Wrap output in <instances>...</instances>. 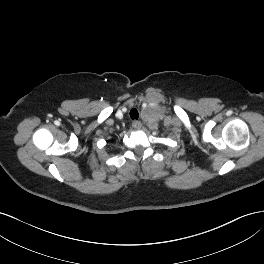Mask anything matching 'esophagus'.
I'll return each instance as SVG.
<instances>
[{
	"label": "esophagus",
	"mask_w": 264,
	"mask_h": 264,
	"mask_svg": "<svg viewBox=\"0 0 264 264\" xmlns=\"http://www.w3.org/2000/svg\"><path fill=\"white\" fill-rule=\"evenodd\" d=\"M132 126L135 129H140L142 127V123L140 121H133Z\"/></svg>",
	"instance_id": "obj_1"
}]
</instances>
